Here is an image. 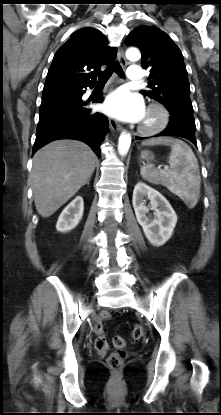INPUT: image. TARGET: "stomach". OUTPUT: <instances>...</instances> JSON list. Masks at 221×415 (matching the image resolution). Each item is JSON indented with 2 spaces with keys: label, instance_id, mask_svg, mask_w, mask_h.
Wrapping results in <instances>:
<instances>
[{
  "label": "stomach",
  "instance_id": "1",
  "mask_svg": "<svg viewBox=\"0 0 221 415\" xmlns=\"http://www.w3.org/2000/svg\"><path fill=\"white\" fill-rule=\"evenodd\" d=\"M142 157H143V158H147V157H149V152H148V151H143V152H142Z\"/></svg>",
  "mask_w": 221,
  "mask_h": 415
}]
</instances>
